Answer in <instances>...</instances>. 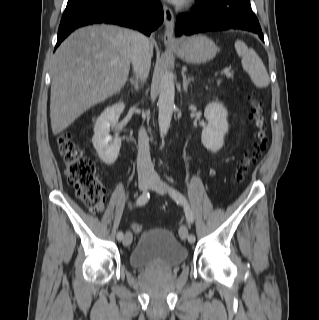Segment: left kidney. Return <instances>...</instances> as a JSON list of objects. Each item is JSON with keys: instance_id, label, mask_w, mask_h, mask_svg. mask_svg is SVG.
Returning a JSON list of instances; mask_svg holds the SVG:
<instances>
[{"instance_id": "1", "label": "left kidney", "mask_w": 319, "mask_h": 320, "mask_svg": "<svg viewBox=\"0 0 319 320\" xmlns=\"http://www.w3.org/2000/svg\"><path fill=\"white\" fill-rule=\"evenodd\" d=\"M227 110L218 102L209 103L204 111L208 124L202 130V144L211 152H218L224 144L228 132Z\"/></svg>"}]
</instances>
